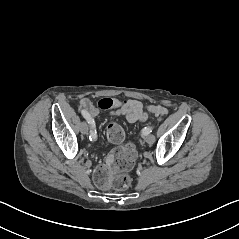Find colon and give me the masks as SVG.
<instances>
[{"label":"colon","mask_w":239,"mask_h":239,"mask_svg":"<svg viewBox=\"0 0 239 239\" xmlns=\"http://www.w3.org/2000/svg\"><path fill=\"white\" fill-rule=\"evenodd\" d=\"M114 106V100L110 98L101 99L97 108L106 110ZM150 113L164 116L168 110L160 105L147 106ZM106 135L110 142L120 144L124 141L125 132L118 123H110L106 129ZM136 157L135 149L131 145H124L116 149L108 157L105 164L100 165L94 172V181L97 186L116 191H124L131 185L130 170Z\"/></svg>","instance_id":"obj_1"}]
</instances>
